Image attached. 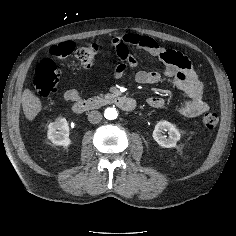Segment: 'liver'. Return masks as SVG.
Segmentation results:
<instances>
[{"instance_id": "liver-1", "label": "liver", "mask_w": 236, "mask_h": 236, "mask_svg": "<svg viewBox=\"0 0 236 236\" xmlns=\"http://www.w3.org/2000/svg\"><path fill=\"white\" fill-rule=\"evenodd\" d=\"M21 101L25 117L33 121L42 109L40 99L31 90L25 89Z\"/></svg>"}]
</instances>
